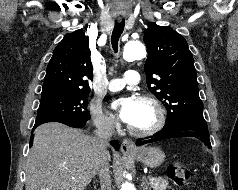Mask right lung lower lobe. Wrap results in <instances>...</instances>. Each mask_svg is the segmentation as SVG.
Masks as SVG:
<instances>
[{
	"instance_id": "1",
	"label": "right lung lower lobe",
	"mask_w": 238,
	"mask_h": 190,
	"mask_svg": "<svg viewBox=\"0 0 238 190\" xmlns=\"http://www.w3.org/2000/svg\"><path fill=\"white\" fill-rule=\"evenodd\" d=\"M61 123L71 126V127H75V128H81L84 127L87 123V121H81V120H70V121H61ZM40 124H35L32 131L38 127ZM112 144V146L118 150L119 148V143L117 141H112L110 142ZM33 144V140L30 139V146H32Z\"/></svg>"
}]
</instances>
